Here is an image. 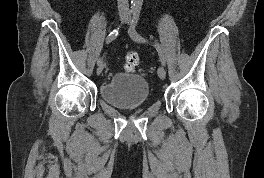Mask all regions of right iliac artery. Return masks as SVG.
Here are the masks:
<instances>
[{"label":"right iliac artery","mask_w":264,"mask_h":178,"mask_svg":"<svg viewBox=\"0 0 264 178\" xmlns=\"http://www.w3.org/2000/svg\"><path fill=\"white\" fill-rule=\"evenodd\" d=\"M118 34H119V28L114 29V30H113V31L107 36V38H106V43H107V44L111 43L113 40H115V39L117 38ZM97 63H98V65L101 64V63H103V59H102V58H99Z\"/></svg>","instance_id":"right-iliac-artery-1"}]
</instances>
